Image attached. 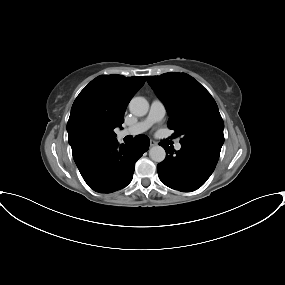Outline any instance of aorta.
I'll use <instances>...</instances> for the list:
<instances>
[{"label": "aorta", "instance_id": "762f6f07", "mask_svg": "<svg viewBox=\"0 0 285 285\" xmlns=\"http://www.w3.org/2000/svg\"><path fill=\"white\" fill-rule=\"evenodd\" d=\"M129 110L135 116H144L149 110V103L144 97H134L129 103ZM149 157L154 162H162L166 157L165 149L159 145L149 150Z\"/></svg>", "mask_w": 285, "mask_h": 285}]
</instances>
